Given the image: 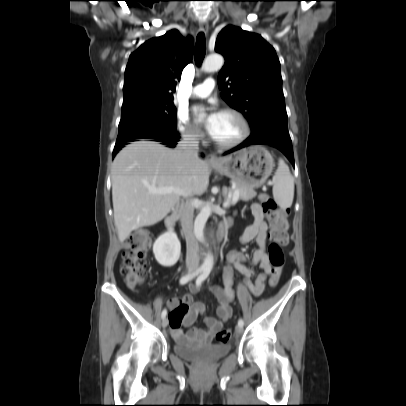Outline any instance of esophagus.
Returning a JSON list of instances; mask_svg holds the SVG:
<instances>
[{
	"label": "esophagus",
	"mask_w": 406,
	"mask_h": 406,
	"mask_svg": "<svg viewBox=\"0 0 406 406\" xmlns=\"http://www.w3.org/2000/svg\"><path fill=\"white\" fill-rule=\"evenodd\" d=\"M199 26H200V30H201L202 32H204L205 34L208 33V31H209V25H208L207 22H200ZM207 162H208L209 164H216V163H219L220 160H219V158H218L215 154H209V155L207 156Z\"/></svg>",
	"instance_id": "34e87169"
}]
</instances>
